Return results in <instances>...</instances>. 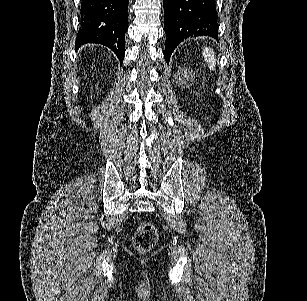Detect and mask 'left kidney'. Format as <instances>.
<instances>
[{"instance_id":"left-kidney-1","label":"left kidney","mask_w":307,"mask_h":301,"mask_svg":"<svg viewBox=\"0 0 307 301\" xmlns=\"http://www.w3.org/2000/svg\"><path fill=\"white\" fill-rule=\"evenodd\" d=\"M178 74L180 80H185V82H192L193 78L192 68H179Z\"/></svg>"}]
</instances>
